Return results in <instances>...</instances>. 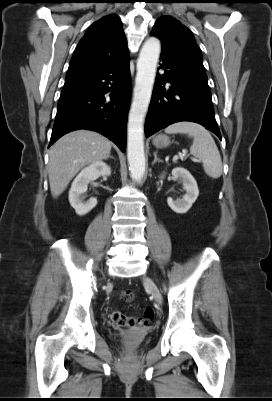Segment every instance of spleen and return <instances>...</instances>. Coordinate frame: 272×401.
<instances>
[{
    "instance_id": "obj_1",
    "label": "spleen",
    "mask_w": 272,
    "mask_h": 401,
    "mask_svg": "<svg viewBox=\"0 0 272 401\" xmlns=\"http://www.w3.org/2000/svg\"><path fill=\"white\" fill-rule=\"evenodd\" d=\"M165 132L169 134L183 133L193 138L190 153L199 158L203 163L205 173L217 179L222 174V161L219 150L210 133L201 125L193 122H178L167 128Z\"/></svg>"
}]
</instances>
